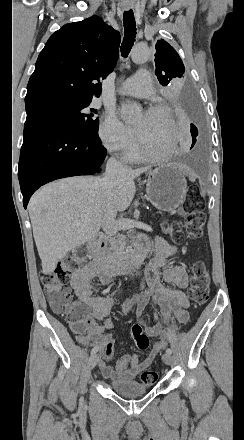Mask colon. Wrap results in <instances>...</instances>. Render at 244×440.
Masks as SVG:
<instances>
[{"instance_id": "1", "label": "colon", "mask_w": 244, "mask_h": 440, "mask_svg": "<svg viewBox=\"0 0 244 440\" xmlns=\"http://www.w3.org/2000/svg\"><path fill=\"white\" fill-rule=\"evenodd\" d=\"M183 215L189 237L197 238L201 236L206 215L201 197L197 191L190 192ZM161 226L165 229L168 225L164 222ZM171 228L174 230L172 232L174 239L183 237L181 221H172ZM66 254L68 255L67 260L58 263L53 272H43L40 275L41 285L53 311L64 314L75 333H83L90 324V319L86 316L90 312V307L89 305L74 303L71 290L67 285L69 274L77 271V266L83 267L86 264L85 260L89 251L87 248H69ZM190 270L192 279L189 297L195 305L202 306L209 298L210 274L201 261H195ZM133 327L137 348L141 351L147 350L150 345L149 337L143 333L141 326L135 324ZM157 377V372L150 369L143 371L141 374V380L146 385L153 384Z\"/></svg>"}]
</instances>
